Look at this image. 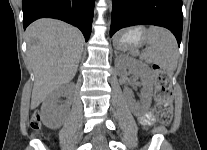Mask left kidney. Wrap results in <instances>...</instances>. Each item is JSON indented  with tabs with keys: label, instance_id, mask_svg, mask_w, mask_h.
I'll use <instances>...</instances> for the list:
<instances>
[{
	"label": "left kidney",
	"instance_id": "left-kidney-1",
	"mask_svg": "<svg viewBox=\"0 0 207 150\" xmlns=\"http://www.w3.org/2000/svg\"><path fill=\"white\" fill-rule=\"evenodd\" d=\"M118 72L121 75L129 73L135 74L140 77L143 82V89L141 91V102H135L131 92L126 91V97L129 101L132 113L135 116H141L145 114L152 102L153 94V76L150 68L135 59L129 58L128 56L121 55L115 60Z\"/></svg>",
	"mask_w": 207,
	"mask_h": 150
}]
</instances>
